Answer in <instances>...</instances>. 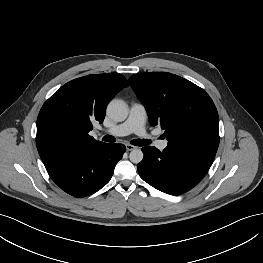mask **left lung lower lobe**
<instances>
[{"label":"left lung lower lobe","instance_id":"obj_1","mask_svg":"<svg viewBox=\"0 0 263 263\" xmlns=\"http://www.w3.org/2000/svg\"><path fill=\"white\" fill-rule=\"evenodd\" d=\"M143 160L138 164L140 177L154 188L171 195L193 188L212 165L215 155L194 152L171 145L160 152L143 147Z\"/></svg>","mask_w":263,"mask_h":263}]
</instances>
